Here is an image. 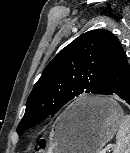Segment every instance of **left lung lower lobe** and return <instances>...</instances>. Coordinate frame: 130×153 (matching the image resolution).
<instances>
[{"instance_id":"0a47b994","label":"left lung lower lobe","mask_w":130,"mask_h":153,"mask_svg":"<svg viewBox=\"0 0 130 153\" xmlns=\"http://www.w3.org/2000/svg\"><path fill=\"white\" fill-rule=\"evenodd\" d=\"M98 94L118 96L130 105V65L122 47L107 68ZM84 112L81 109L76 114Z\"/></svg>"}]
</instances>
